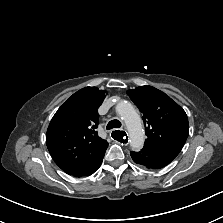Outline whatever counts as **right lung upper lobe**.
<instances>
[{
	"label": "right lung upper lobe",
	"mask_w": 223,
	"mask_h": 223,
	"mask_svg": "<svg viewBox=\"0 0 223 223\" xmlns=\"http://www.w3.org/2000/svg\"><path fill=\"white\" fill-rule=\"evenodd\" d=\"M104 99V90L80 89L58 109L49 124L47 148L56 164L69 175L88 169L105 154L108 142L96 131L97 110Z\"/></svg>",
	"instance_id": "cb5924a9"
}]
</instances>
